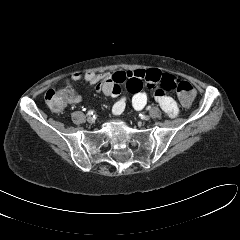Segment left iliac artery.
Here are the masks:
<instances>
[{"label": "left iliac artery", "mask_w": 240, "mask_h": 240, "mask_svg": "<svg viewBox=\"0 0 240 240\" xmlns=\"http://www.w3.org/2000/svg\"><path fill=\"white\" fill-rule=\"evenodd\" d=\"M146 109H147V110H150V109H151V106H148Z\"/></svg>", "instance_id": "obj_1"}]
</instances>
